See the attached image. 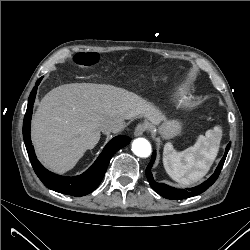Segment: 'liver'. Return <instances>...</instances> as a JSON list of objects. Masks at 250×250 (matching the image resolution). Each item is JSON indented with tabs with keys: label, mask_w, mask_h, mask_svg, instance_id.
Returning a JSON list of instances; mask_svg holds the SVG:
<instances>
[{
	"label": "liver",
	"mask_w": 250,
	"mask_h": 250,
	"mask_svg": "<svg viewBox=\"0 0 250 250\" xmlns=\"http://www.w3.org/2000/svg\"><path fill=\"white\" fill-rule=\"evenodd\" d=\"M139 115L152 124L165 120L153 105L124 89L93 83L61 85L43 97L34 115L31 135L36 154L51 170L67 172L97 145L107 121Z\"/></svg>",
	"instance_id": "obj_1"
}]
</instances>
